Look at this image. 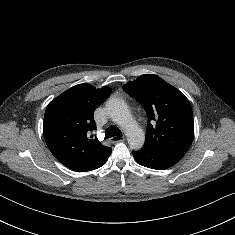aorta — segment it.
<instances>
[{
    "instance_id": "1",
    "label": "aorta",
    "mask_w": 235,
    "mask_h": 235,
    "mask_svg": "<svg viewBox=\"0 0 235 235\" xmlns=\"http://www.w3.org/2000/svg\"><path fill=\"white\" fill-rule=\"evenodd\" d=\"M109 117L125 132L131 149L143 147L145 135L138 123L133 119L127 104L118 98H111L106 103Z\"/></svg>"
}]
</instances>
